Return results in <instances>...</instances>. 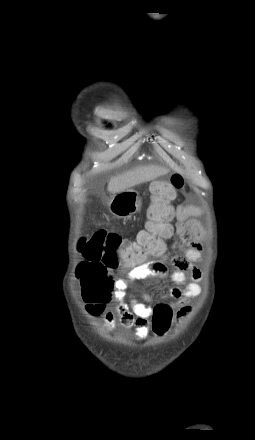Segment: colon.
Segmentation results:
<instances>
[{"instance_id":"1","label":"colon","mask_w":255,"mask_h":440,"mask_svg":"<svg viewBox=\"0 0 255 440\" xmlns=\"http://www.w3.org/2000/svg\"><path fill=\"white\" fill-rule=\"evenodd\" d=\"M183 184L182 176L174 174L169 180L152 185L145 229L138 233L135 240L104 230L90 233L80 240L78 250L84 261L78 267V274L85 267L80 282L83 299L91 312H102L110 300L112 281L109 271L134 269L148 264L150 257L165 253L162 239L171 233L170 203ZM172 318L173 311L168 304L157 305L152 316L154 333L163 335L169 329Z\"/></svg>"}]
</instances>
